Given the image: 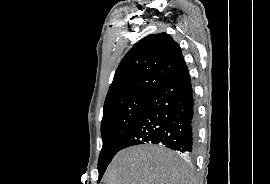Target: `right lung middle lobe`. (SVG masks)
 I'll list each match as a JSON object with an SVG mask.
<instances>
[{
    "mask_svg": "<svg viewBox=\"0 0 270 184\" xmlns=\"http://www.w3.org/2000/svg\"><path fill=\"white\" fill-rule=\"evenodd\" d=\"M148 96L134 95L104 105L101 123L103 147L98 160L99 179L142 110Z\"/></svg>",
    "mask_w": 270,
    "mask_h": 184,
    "instance_id": "dd1d6c3e",
    "label": "right lung middle lobe"
}]
</instances>
